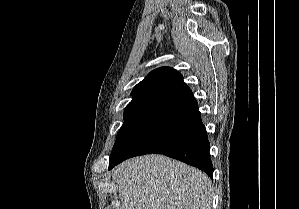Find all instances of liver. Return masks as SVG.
Returning a JSON list of instances; mask_svg holds the SVG:
<instances>
[{"instance_id":"1","label":"liver","mask_w":299,"mask_h":209,"mask_svg":"<svg viewBox=\"0 0 299 209\" xmlns=\"http://www.w3.org/2000/svg\"><path fill=\"white\" fill-rule=\"evenodd\" d=\"M121 209H211L206 174L163 155L129 159L116 167Z\"/></svg>"}]
</instances>
